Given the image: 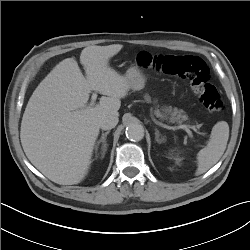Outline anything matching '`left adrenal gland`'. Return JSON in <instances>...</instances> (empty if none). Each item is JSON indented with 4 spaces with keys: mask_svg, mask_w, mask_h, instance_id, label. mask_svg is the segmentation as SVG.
<instances>
[{
    "mask_svg": "<svg viewBox=\"0 0 250 250\" xmlns=\"http://www.w3.org/2000/svg\"><path fill=\"white\" fill-rule=\"evenodd\" d=\"M155 139H156V141L158 142V143H164L165 141H166V139H165V137H161V138H159L160 137V134H159V131L156 129V131H155Z\"/></svg>",
    "mask_w": 250,
    "mask_h": 250,
    "instance_id": "a2214340",
    "label": "left adrenal gland"
}]
</instances>
